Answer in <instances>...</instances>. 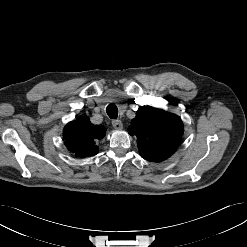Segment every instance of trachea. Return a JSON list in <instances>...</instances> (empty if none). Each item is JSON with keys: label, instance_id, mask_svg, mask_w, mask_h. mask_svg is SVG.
Listing matches in <instances>:
<instances>
[{"label": "trachea", "instance_id": "obj_1", "mask_svg": "<svg viewBox=\"0 0 247 247\" xmlns=\"http://www.w3.org/2000/svg\"><path fill=\"white\" fill-rule=\"evenodd\" d=\"M106 112L111 119H116L118 116V109L115 104L108 105Z\"/></svg>", "mask_w": 247, "mask_h": 247}]
</instances>
